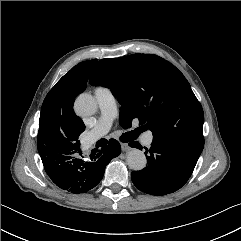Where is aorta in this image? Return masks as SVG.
Returning a JSON list of instances; mask_svg holds the SVG:
<instances>
[{"label": "aorta", "instance_id": "762f6f07", "mask_svg": "<svg viewBox=\"0 0 241 241\" xmlns=\"http://www.w3.org/2000/svg\"><path fill=\"white\" fill-rule=\"evenodd\" d=\"M96 99L87 93L80 94L74 103V109L79 116H91L97 111ZM128 166L134 171H140L146 167L147 159L145 154L136 148L131 149L127 154Z\"/></svg>", "mask_w": 241, "mask_h": 241}]
</instances>
